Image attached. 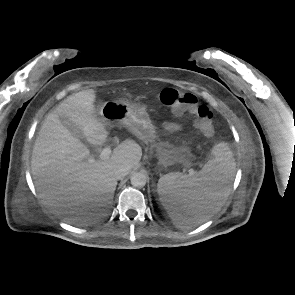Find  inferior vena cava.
I'll use <instances>...</instances> for the list:
<instances>
[{"label":"inferior vena cava","instance_id":"1","mask_svg":"<svg viewBox=\"0 0 295 295\" xmlns=\"http://www.w3.org/2000/svg\"><path fill=\"white\" fill-rule=\"evenodd\" d=\"M130 171L128 166H119L114 171V176L116 179L124 178Z\"/></svg>","mask_w":295,"mask_h":295}]
</instances>
